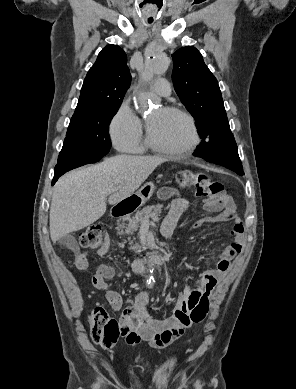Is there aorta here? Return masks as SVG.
I'll list each match as a JSON object with an SVG mask.
<instances>
[{"label": "aorta", "instance_id": "obj_1", "mask_svg": "<svg viewBox=\"0 0 296 389\" xmlns=\"http://www.w3.org/2000/svg\"><path fill=\"white\" fill-rule=\"evenodd\" d=\"M169 64L170 60L164 52L154 51L150 53L140 70L142 83L147 84L157 76L165 74ZM136 101L140 109H147L151 103V96L147 90L142 89L137 92ZM152 279L151 276L150 282Z\"/></svg>", "mask_w": 296, "mask_h": 389}]
</instances>
